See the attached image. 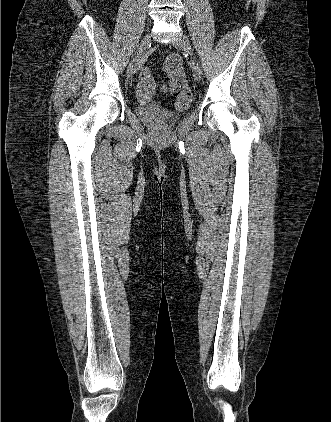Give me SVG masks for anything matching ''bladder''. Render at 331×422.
I'll return each mask as SVG.
<instances>
[{"instance_id": "31cf9c89", "label": "bladder", "mask_w": 331, "mask_h": 422, "mask_svg": "<svg viewBox=\"0 0 331 422\" xmlns=\"http://www.w3.org/2000/svg\"><path fill=\"white\" fill-rule=\"evenodd\" d=\"M185 110L186 107L179 111L183 112ZM136 112L145 122L155 127L169 125L178 120L177 114L156 104L138 107Z\"/></svg>"}]
</instances>
